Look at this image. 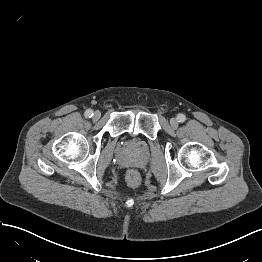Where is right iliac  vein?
I'll return each instance as SVG.
<instances>
[{"mask_svg":"<svg viewBox=\"0 0 262 262\" xmlns=\"http://www.w3.org/2000/svg\"><path fill=\"white\" fill-rule=\"evenodd\" d=\"M101 117V113L99 111H95L93 115L94 120H98Z\"/></svg>","mask_w":262,"mask_h":262,"instance_id":"obj_1","label":"right iliac vein"}]
</instances>
